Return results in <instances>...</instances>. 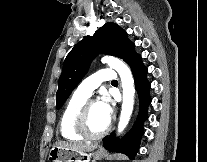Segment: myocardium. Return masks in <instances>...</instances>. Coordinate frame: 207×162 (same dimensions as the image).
<instances>
[{"label": "myocardium", "instance_id": "f54148a6", "mask_svg": "<svg viewBox=\"0 0 207 162\" xmlns=\"http://www.w3.org/2000/svg\"><path fill=\"white\" fill-rule=\"evenodd\" d=\"M97 103H98V100H95V99L86 100L85 103L79 108V110L77 111L75 115L73 128L75 132L81 137H84L87 139H100L104 137L111 129V121H109L106 128L103 129L101 132L95 133V134L89 132L87 128V123H86L87 114L91 106Z\"/></svg>", "mask_w": 207, "mask_h": 162}]
</instances>
